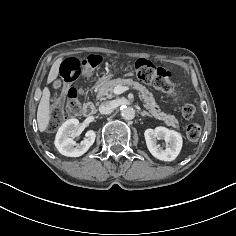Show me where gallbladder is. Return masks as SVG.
<instances>
[{
    "label": "gallbladder",
    "mask_w": 236,
    "mask_h": 236,
    "mask_svg": "<svg viewBox=\"0 0 236 236\" xmlns=\"http://www.w3.org/2000/svg\"><path fill=\"white\" fill-rule=\"evenodd\" d=\"M53 87L56 89V88H58V87H60V82L59 81H55L54 83H53Z\"/></svg>",
    "instance_id": "1"
}]
</instances>
